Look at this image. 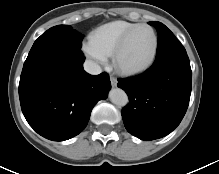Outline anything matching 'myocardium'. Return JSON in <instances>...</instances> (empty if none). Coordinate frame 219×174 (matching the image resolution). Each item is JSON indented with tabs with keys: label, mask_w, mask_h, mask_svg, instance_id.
<instances>
[{
	"label": "myocardium",
	"mask_w": 219,
	"mask_h": 174,
	"mask_svg": "<svg viewBox=\"0 0 219 174\" xmlns=\"http://www.w3.org/2000/svg\"><path fill=\"white\" fill-rule=\"evenodd\" d=\"M140 28H148L153 33L154 46H153L152 54H151L149 60L140 66L125 67L120 62L121 55L123 54V52H124L128 42H129L130 38L132 37V35ZM158 46H159V38H158V34H157L156 30L149 24H145V23L139 24V25L135 26L134 28H132L131 30H129L120 40L119 44L117 45V47L114 50L113 55H112L113 65H114L115 69L117 70V72H119L120 74H122L124 76H134V75H138L140 73H143L147 69H149L152 66V64L154 63L156 56H157V52H158Z\"/></svg>",
	"instance_id": "f54148a6"
}]
</instances>
